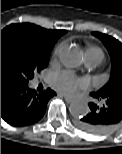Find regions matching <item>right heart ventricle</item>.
<instances>
[{"label":"right heart ventricle","mask_w":122,"mask_h":154,"mask_svg":"<svg viewBox=\"0 0 122 154\" xmlns=\"http://www.w3.org/2000/svg\"><path fill=\"white\" fill-rule=\"evenodd\" d=\"M85 54H94V55H98L100 57H102L103 59V52L100 48L96 47V46H89L86 48Z\"/></svg>","instance_id":"obj_1"}]
</instances>
